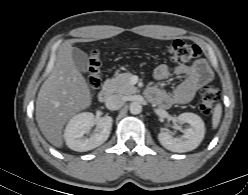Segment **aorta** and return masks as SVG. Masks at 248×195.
<instances>
[{"mask_svg": "<svg viewBox=\"0 0 248 195\" xmlns=\"http://www.w3.org/2000/svg\"><path fill=\"white\" fill-rule=\"evenodd\" d=\"M129 109H130L131 114L137 115V114L141 113L142 106L138 102H132L129 106Z\"/></svg>", "mask_w": 248, "mask_h": 195, "instance_id": "aorta-1", "label": "aorta"}]
</instances>
